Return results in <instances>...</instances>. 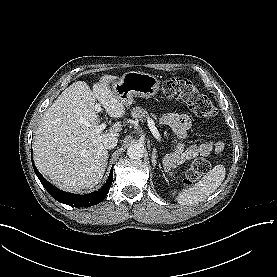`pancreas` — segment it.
Wrapping results in <instances>:
<instances>
[{"label": "pancreas", "mask_w": 277, "mask_h": 277, "mask_svg": "<svg viewBox=\"0 0 277 277\" xmlns=\"http://www.w3.org/2000/svg\"><path fill=\"white\" fill-rule=\"evenodd\" d=\"M131 116L134 119H148L150 118V115L148 114L146 109H143L142 107H135L131 111ZM153 118H156L154 114H151Z\"/></svg>", "instance_id": "pancreas-1"}]
</instances>
